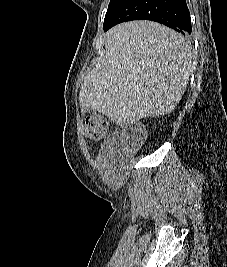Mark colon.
<instances>
[{"mask_svg":"<svg viewBox=\"0 0 227 267\" xmlns=\"http://www.w3.org/2000/svg\"><path fill=\"white\" fill-rule=\"evenodd\" d=\"M85 136L92 140H100L108 133V121L99 114L86 118L83 125ZM147 137L146 130L138 126H129L119 137L127 151L138 150L145 142Z\"/></svg>","mask_w":227,"mask_h":267,"instance_id":"obj_1","label":"colon"}]
</instances>
